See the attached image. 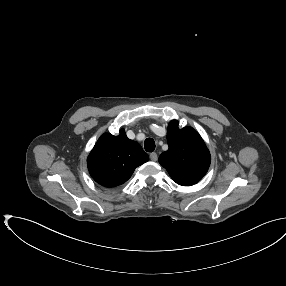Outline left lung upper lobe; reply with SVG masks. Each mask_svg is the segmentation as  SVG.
<instances>
[{"mask_svg": "<svg viewBox=\"0 0 286 286\" xmlns=\"http://www.w3.org/2000/svg\"><path fill=\"white\" fill-rule=\"evenodd\" d=\"M178 121L168 125L169 149L159 157V163L179 185L191 186L199 182L210 166V152L199 133L191 127L178 128Z\"/></svg>", "mask_w": 286, "mask_h": 286, "instance_id": "5c2ea615", "label": "left lung upper lobe"}]
</instances>
